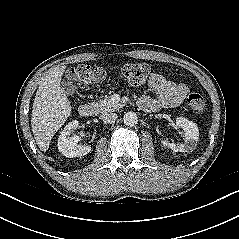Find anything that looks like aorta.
<instances>
[{"label":"aorta","mask_w":239,"mask_h":239,"mask_svg":"<svg viewBox=\"0 0 239 239\" xmlns=\"http://www.w3.org/2000/svg\"><path fill=\"white\" fill-rule=\"evenodd\" d=\"M123 120L125 125L134 126L138 122V116L135 112L129 111L125 113Z\"/></svg>","instance_id":"obj_1"}]
</instances>
